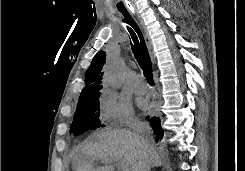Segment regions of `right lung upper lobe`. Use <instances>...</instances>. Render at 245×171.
Listing matches in <instances>:
<instances>
[{"label":"right lung upper lobe","instance_id":"right-lung-upper-lobe-1","mask_svg":"<svg viewBox=\"0 0 245 171\" xmlns=\"http://www.w3.org/2000/svg\"><path fill=\"white\" fill-rule=\"evenodd\" d=\"M106 55L104 51L98 52L89 66L85 75V87L81 92L80 99L99 95L102 89L101 75H103L102 67L105 64Z\"/></svg>","mask_w":245,"mask_h":171}]
</instances>
